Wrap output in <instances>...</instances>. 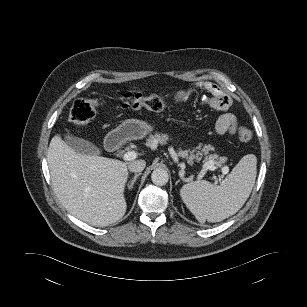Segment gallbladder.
Returning <instances> with one entry per match:
<instances>
[{
    "label": "gallbladder",
    "instance_id": "bac80fb5",
    "mask_svg": "<svg viewBox=\"0 0 307 307\" xmlns=\"http://www.w3.org/2000/svg\"><path fill=\"white\" fill-rule=\"evenodd\" d=\"M66 143L77 153L85 155H98L101 150L92 142L71 134L65 135Z\"/></svg>",
    "mask_w": 307,
    "mask_h": 307
}]
</instances>
